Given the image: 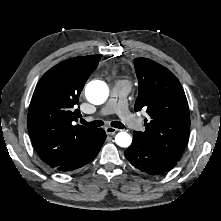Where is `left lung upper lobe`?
Returning <instances> with one entry per match:
<instances>
[{
  "label": "left lung upper lobe",
  "mask_w": 221,
  "mask_h": 221,
  "mask_svg": "<svg viewBox=\"0 0 221 221\" xmlns=\"http://www.w3.org/2000/svg\"><path fill=\"white\" fill-rule=\"evenodd\" d=\"M139 91L135 110H146V130L134 131L145 143L179 160L189 137L190 114L184 90L164 66L148 59H134Z\"/></svg>",
  "instance_id": "1"
}]
</instances>
